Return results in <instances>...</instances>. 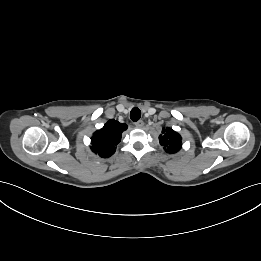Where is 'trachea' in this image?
<instances>
[{
  "mask_svg": "<svg viewBox=\"0 0 261 261\" xmlns=\"http://www.w3.org/2000/svg\"><path fill=\"white\" fill-rule=\"evenodd\" d=\"M141 117V111L139 108L134 107L131 112H130V118L132 121L136 122L140 119Z\"/></svg>",
  "mask_w": 261,
  "mask_h": 261,
  "instance_id": "trachea-1",
  "label": "trachea"
}]
</instances>
